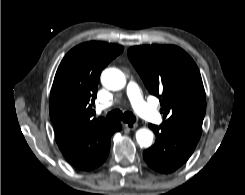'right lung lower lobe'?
Wrapping results in <instances>:
<instances>
[{"instance_id":"1","label":"right lung lower lobe","mask_w":245,"mask_h":195,"mask_svg":"<svg viewBox=\"0 0 245 195\" xmlns=\"http://www.w3.org/2000/svg\"><path fill=\"white\" fill-rule=\"evenodd\" d=\"M121 128L122 126L120 123H114L111 126V128L101 136L99 140V146H98L99 152H98V161L96 167L101 165L106 160L110 150L111 135L114 132L121 130Z\"/></svg>"}]
</instances>
